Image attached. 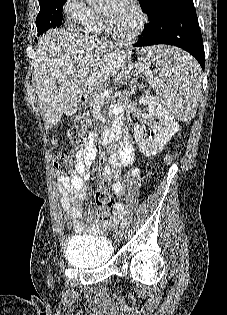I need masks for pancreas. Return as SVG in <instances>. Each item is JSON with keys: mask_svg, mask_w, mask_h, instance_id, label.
Here are the masks:
<instances>
[{"mask_svg": "<svg viewBox=\"0 0 227 315\" xmlns=\"http://www.w3.org/2000/svg\"><path fill=\"white\" fill-rule=\"evenodd\" d=\"M148 68L145 65L137 66L134 65L131 70H129L128 74L124 75V78L131 79L133 76V80H137L139 78V75L142 76V74L147 75ZM95 79V85L87 84V92L89 94V106L94 108L95 106H98L101 104V100L104 98L99 97L98 95L102 93L104 90H107L108 83L103 82L100 78V76H94Z\"/></svg>", "mask_w": 227, "mask_h": 315, "instance_id": "1", "label": "pancreas"}]
</instances>
